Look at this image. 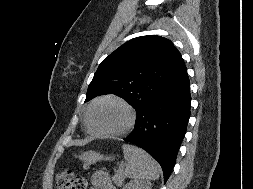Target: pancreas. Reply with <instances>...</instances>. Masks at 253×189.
Masks as SVG:
<instances>
[{
    "mask_svg": "<svg viewBox=\"0 0 253 189\" xmlns=\"http://www.w3.org/2000/svg\"><path fill=\"white\" fill-rule=\"evenodd\" d=\"M124 179L125 175L122 170H118L116 174L112 177V180L116 184V186H122Z\"/></svg>",
    "mask_w": 253,
    "mask_h": 189,
    "instance_id": "1",
    "label": "pancreas"
}]
</instances>
